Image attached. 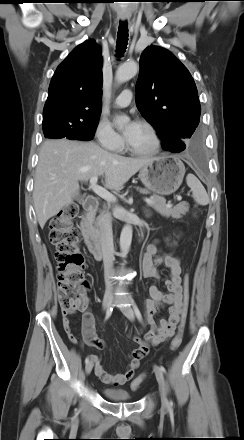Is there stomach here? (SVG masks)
I'll list each match as a JSON object with an SVG mask.
<instances>
[{"label":"stomach","mask_w":244,"mask_h":440,"mask_svg":"<svg viewBox=\"0 0 244 440\" xmlns=\"http://www.w3.org/2000/svg\"><path fill=\"white\" fill-rule=\"evenodd\" d=\"M185 172V166L179 158L165 154L142 167L139 178L148 190L170 195L182 184Z\"/></svg>","instance_id":"0dacf381"}]
</instances>
